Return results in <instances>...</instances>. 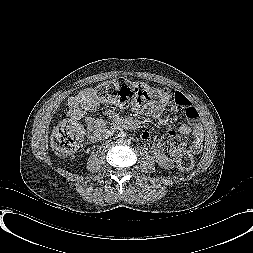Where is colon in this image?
<instances>
[{
    "mask_svg": "<svg viewBox=\"0 0 253 253\" xmlns=\"http://www.w3.org/2000/svg\"><path fill=\"white\" fill-rule=\"evenodd\" d=\"M95 93L103 102L119 106H132L136 109H149L167 102L170 97L166 88H155L143 83L125 80L106 81L99 84ZM84 140V132L75 121L60 123L53 136L52 147L59 155L74 154ZM178 168L189 171L193 167V157L183 150L177 157Z\"/></svg>",
    "mask_w": 253,
    "mask_h": 253,
    "instance_id": "1",
    "label": "colon"
}]
</instances>
